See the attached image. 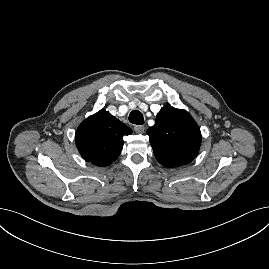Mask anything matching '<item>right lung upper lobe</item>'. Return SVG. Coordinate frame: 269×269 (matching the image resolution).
<instances>
[{"label": "right lung upper lobe", "instance_id": "obj_1", "mask_svg": "<svg viewBox=\"0 0 269 269\" xmlns=\"http://www.w3.org/2000/svg\"><path fill=\"white\" fill-rule=\"evenodd\" d=\"M131 133V128L102 109L80 124L75 141L86 161L97 166H108L120 155L123 137Z\"/></svg>", "mask_w": 269, "mask_h": 269}]
</instances>
